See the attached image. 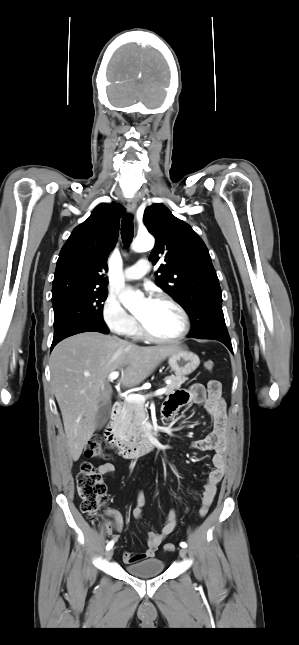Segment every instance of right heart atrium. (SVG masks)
Returning <instances> with one entry per match:
<instances>
[{"label":"right heart atrium","mask_w":299,"mask_h":645,"mask_svg":"<svg viewBox=\"0 0 299 645\" xmlns=\"http://www.w3.org/2000/svg\"><path fill=\"white\" fill-rule=\"evenodd\" d=\"M102 319L106 327L117 335H130L137 328L135 318L111 295L104 301Z\"/></svg>","instance_id":"obj_1"}]
</instances>
